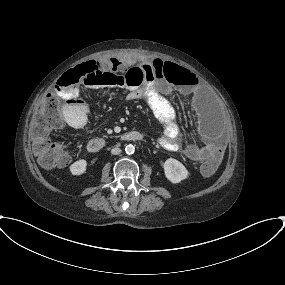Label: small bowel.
<instances>
[{"label":"small bowel","instance_id":"1","mask_svg":"<svg viewBox=\"0 0 285 285\" xmlns=\"http://www.w3.org/2000/svg\"><path fill=\"white\" fill-rule=\"evenodd\" d=\"M119 62V68L131 65H139L145 74L146 85L142 91H131L127 93L130 101L143 99L147 102L153 117L163 125V132L159 136V144L167 151L182 152L193 161H205L215 154H223L224 143L220 139L215 126L204 121L198 136H184L181 134L176 122V112L170 102L161 94L160 90H168L172 93L179 92L182 87L195 84L197 78L193 73L176 64H172L173 74L166 80H160L157 76V65L164 62L156 59L153 62L147 60H135L129 56L115 57ZM86 87L90 89L111 88L113 85L103 80L86 81ZM61 97L65 100L64 116L69 127L80 128V122L89 117L88 104L82 97L81 90L75 87L60 85Z\"/></svg>","mask_w":285,"mask_h":285}]
</instances>
